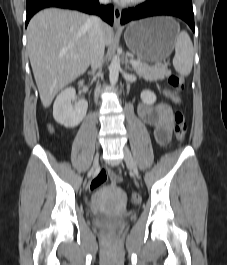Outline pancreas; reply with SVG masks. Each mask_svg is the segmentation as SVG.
Masks as SVG:
<instances>
[{
  "label": "pancreas",
  "mask_w": 227,
  "mask_h": 265,
  "mask_svg": "<svg viewBox=\"0 0 227 265\" xmlns=\"http://www.w3.org/2000/svg\"><path fill=\"white\" fill-rule=\"evenodd\" d=\"M140 62V65L134 66V70L137 75L144 77L145 79L149 80H163L165 77L171 74V71L167 69L166 66L164 67H150L141 60H136Z\"/></svg>",
  "instance_id": "obj_1"
}]
</instances>
